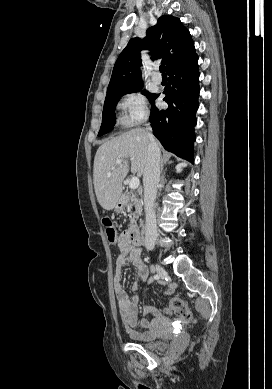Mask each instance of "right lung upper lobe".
Here are the masks:
<instances>
[{
    "label": "right lung upper lobe",
    "instance_id": "1",
    "mask_svg": "<svg viewBox=\"0 0 272 389\" xmlns=\"http://www.w3.org/2000/svg\"><path fill=\"white\" fill-rule=\"evenodd\" d=\"M142 49L151 51L152 60L162 59L167 73L196 54L190 33L180 19L171 15L161 16L155 26L148 28L144 40L132 38L121 52L114 65L107 94L142 84Z\"/></svg>",
    "mask_w": 272,
    "mask_h": 389
}]
</instances>
